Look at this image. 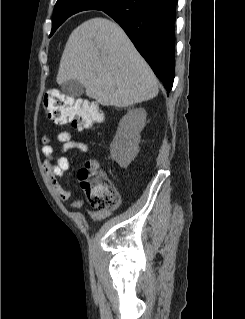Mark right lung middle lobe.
<instances>
[{
	"label": "right lung middle lobe",
	"instance_id": "right-lung-middle-lobe-1",
	"mask_svg": "<svg viewBox=\"0 0 245 319\" xmlns=\"http://www.w3.org/2000/svg\"><path fill=\"white\" fill-rule=\"evenodd\" d=\"M121 1L122 0H83L79 6L82 8V11L89 9L102 10L104 8H110L112 6H115ZM71 4V1H57L54 8L52 19V31L50 36L70 16Z\"/></svg>",
	"mask_w": 245,
	"mask_h": 319
}]
</instances>
